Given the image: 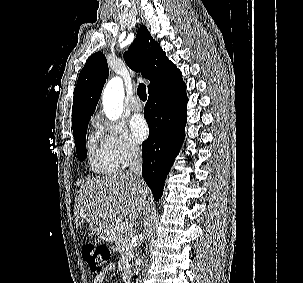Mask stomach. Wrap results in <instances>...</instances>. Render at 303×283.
<instances>
[{"mask_svg": "<svg viewBox=\"0 0 303 283\" xmlns=\"http://www.w3.org/2000/svg\"><path fill=\"white\" fill-rule=\"evenodd\" d=\"M112 225H110L109 220H98L89 223V229L91 230L92 234H104L108 233Z\"/></svg>", "mask_w": 303, "mask_h": 283, "instance_id": "obj_1", "label": "stomach"}]
</instances>
